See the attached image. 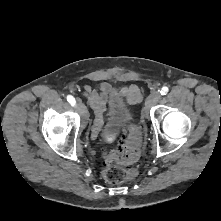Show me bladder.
<instances>
[{"mask_svg": "<svg viewBox=\"0 0 221 221\" xmlns=\"http://www.w3.org/2000/svg\"><path fill=\"white\" fill-rule=\"evenodd\" d=\"M109 118V131H114L132 118L129 104L116 93L112 94L109 100Z\"/></svg>", "mask_w": 221, "mask_h": 221, "instance_id": "obj_1", "label": "bladder"}]
</instances>
